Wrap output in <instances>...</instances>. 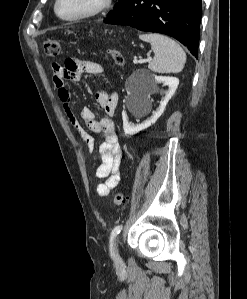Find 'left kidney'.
Listing matches in <instances>:
<instances>
[{"mask_svg": "<svg viewBox=\"0 0 247 299\" xmlns=\"http://www.w3.org/2000/svg\"><path fill=\"white\" fill-rule=\"evenodd\" d=\"M149 87L145 93L139 94H132L131 97L127 98V102L129 100H132L131 104V111L135 115H143L146 113V111L149 108V98L152 93H154L157 90V85L163 83L164 85L168 86V90L164 91V96L160 102L159 107L156 109L155 112H153V115L145 120L141 124H134L129 122L128 117L126 114L122 115L123 119V129L126 135H134L151 125H153L158 118L162 115L164 112V109L168 103V101L171 99L173 94L175 93L178 85H179V79L176 77H167V76H153L150 77L148 80Z\"/></svg>", "mask_w": 247, "mask_h": 299, "instance_id": "obj_1", "label": "left kidney"}]
</instances>
